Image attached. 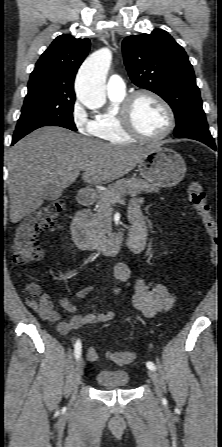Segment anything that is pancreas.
Segmentation results:
<instances>
[{"label":"pancreas","instance_id":"1","mask_svg":"<svg viewBox=\"0 0 222 447\" xmlns=\"http://www.w3.org/2000/svg\"><path fill=\"white\" fill-rule=\"evenodd\" d=\"M159 192V188L137 177L120 179L108 186V191L98 192V209L95 213L87 212V231L95 242H102L106 238L105 212L114 204V200L126 195L135 197L141 193Z\"/></svg>","mask_w":222,"mask_h":447}]
</instances>
